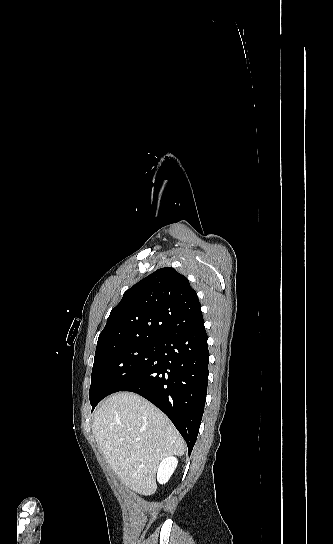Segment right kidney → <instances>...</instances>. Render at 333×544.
Wrapping results in <instances>:
<instances>
[{"label": "right kidney", "instance_id": "ca27d5eb", "mask_svg": "<svg viewBox=\"0 0 333 544\" xmlns=\"http://www.w3.org/2000/svg\"><path fill=\"white\" fill-rule=\"evenodd\" d=\"M178 461L175 457L163 459L158 467L157 480L160 484H165L170 479L177 467Z\"/></svg>", "mask_w": 333, "mask_h": 544}]
</instances>
